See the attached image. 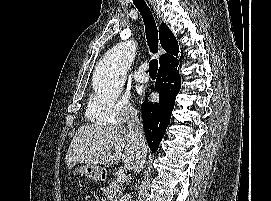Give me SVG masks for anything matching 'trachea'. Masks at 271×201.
<instances>
[{
  "label": "trachea",
  "mask_w": 271,
  "mask_h": 201,
  "mask_svg": "<svg viewBox=\"0 0 271 201\" xmlns=\"http://www.w3.org/2000/svg\"><path fill=\"white\" fill-rule=\"evenodd\" d=\"M133 3L139 10L146 31V39L147 44L149 46L150 51L155 54L158 52V30L153 17V14L146 4L145 0H133ZM158 70V60L156 58L152 59L149 62V74H156Z\"/></svg>",
  "instance_id": "3493384b"
}]
</instances>
